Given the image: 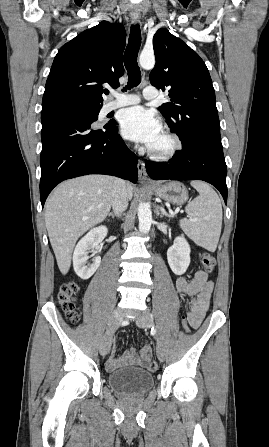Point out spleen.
<instances>
[{"label":"spleen","instance_id":"spleen-1","mask_svg":"<svg viewBox=\"0 0 269 447\" xmlns=\"http://www.w3.org/2000/svg\"><path fill=\"white\" fill-rule=\"evenodd\" d=\"M191 186L199 192V196L186 206L185 212L194 222L184 218L180 220V225L184 233L197 245L205 247L208 251H215L222 225L221 200L215 190L205 182L195 180L191 182Z\"/></svg>","mask_w":269,"mask_h":447}]
</instances>
